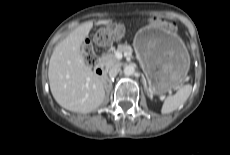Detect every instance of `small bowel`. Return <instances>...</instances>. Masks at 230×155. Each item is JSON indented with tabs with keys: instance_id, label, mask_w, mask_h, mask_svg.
<instances>
[{
	"instance_id": "c3829d8e",
	"label": "small bowel",
	"mask_w": 230,
	"mask_h": 155,
	"mask_svg": "<svg viewBox=\"0 0 230 155\" xmlns=\"http://www.w3.org/2000/svg\"><path fill=\"white\" fill-rule=\"evenodd\" d=\"M145 24L152 28L164 29L171 36H176L180 32L179 27L166 18H157L148 15L145 17Z\"/></svg>"
}]
</instances>
